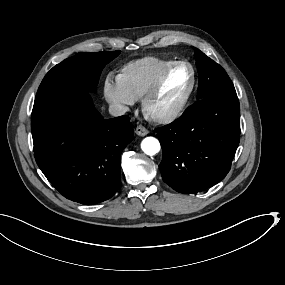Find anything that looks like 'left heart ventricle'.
I'll return each instance as SVG.
<instances>
[{
  "mask_svg": "<svg viewBox=\"0 0 285 285\" xmlns=\"http://www.w3.org/2000/svg\"><path fill=\"white\" fill-rule=\"evenodd\" d=\"M188 87L189 82L183 73L173 74L161 91L151 99L146 112L158 116L175 108L183 99Z\"/></svg>",
  "mask_w": 285,
  "mask_h": 285,
  "instance_id": "left-heart-ventricle-1",
  "label": "left heart ventricle"
}]
</instances>
